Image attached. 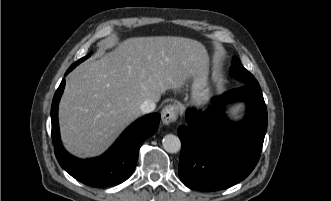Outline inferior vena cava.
Listing matches in <instances>:
<instances>
[{
  "label": "inferior vena cava",
  "mask_w": 331,
  "mask_h": 201,
  "mask_svg": "<svg viewBox=\"0 0 331 201\" xmlns=\"http://www.w3.org/2000/svg\"><path fill=\"white\" fill-rule=\"evenodd\" d=\"M155 108H156V104L151 99H146L140 106V109L144 114L154 111Z\"/></svg>",
  "instance_id": "obj_1"
}]
</instances>
